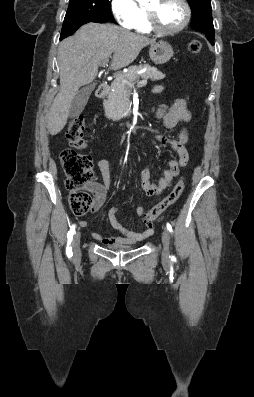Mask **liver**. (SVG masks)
Returning <instances> with one entry per match:
<instances>
[{
	"instance_id": "liver-1",
	"label": "liver",
	"mask_w": 254,
	"mask_h": 397,
	"mask_svg": "<svg viewBox=\"0 0 254 397\" xmlns=\"http://www.w3.org/2000/svg\"><path fill=\"white\" fill-rule=\"evenodd\" d=\"M156 41L112 24L88 23L58 47L60 90L49 113L47 128L58 134L66 125L70 105L79 88L91 83L98 66L113 54L111 70L131 64L140 51Z\"/></svg>"
}]
</instances>
